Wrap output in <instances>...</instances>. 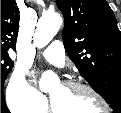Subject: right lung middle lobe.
Wrapping results in <instances>:
<instances>
[{"instance_id": "dd1d6c3e", "label": "right lung middle lobe", "mask_w": 121, "mask_h": 113, "mask_svg": "<svg viewBox=\"0 0 121 113\" xmlns=\"http://www.w3.org/2000/svg\"><path fill=\"white\" fill-rule=\"evenodd\" d=\"M13 62L8 53L1 52V100H4L3 85L7 75L11 72Z\"/></svg>"}]
</instances>
